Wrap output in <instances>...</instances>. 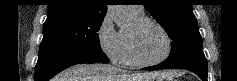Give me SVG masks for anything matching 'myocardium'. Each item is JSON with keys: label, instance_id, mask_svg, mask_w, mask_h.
Returning a JSON list of instances; mask_svg holds the SVG:
<instances>
[{"label": "myocardium", "instance_id": "myocardium-1", "mask_svg": "<svg viewBox=\"0 0 237 81\" xmlns=\"http://www.w3.org/2000/svg\"><path fill=\"white\" fill-rule=\"evenodd\" d=\"M150 25L157 27L161 31V33L163 34L167 42V49H166L165 54L161 58L154 61H147V60L142 59L139 56L136 50V46H135V33L143 30L144 28ZM127 43H128L131 59L134 62V64L138 66H155V65L165 62L171 55L172 48H173L172 39L170 35L168 34V32L166 31V29L157 21L150 20V19H143L134 23L133 32L127 33Z\"/></svg>", "mask_w": 237, "mask_h": 81}]
</instances>
